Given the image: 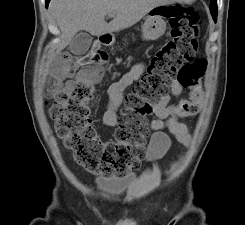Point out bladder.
Listing matches in <instances>:
<instances>
[{
  "mask_svg": "<svg viewBox=\"0 0 245 225\" xmlns=\"http://www.w3.org/2000/svg\"><path fill=\"white\" fill-rule=\"evenodd\" d=\"M134 179L135 176L131 178V182H133ZM102 184L113 193L122 194L126 190V185L121 184L118 181H103Z\"/></svg>",
  "mask_w": 245,
  "mask_h": 225,
  "instance_id": "obj_1",
  "label": "bladder"
}]
</instances>
